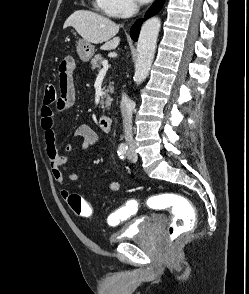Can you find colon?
<instances>
[{
    "label": "colon",
    "mask_w": 249,
    "mask_h": 294,
    "mask_svg": "<svg viewBox=\"0 0 249 294\" xmlns=\"http://www.w3.org/2000/svg\"><path fill=\"white\" fill-rule=\"evenodd\" d=\"M71 69V59L65 57L59 65V72L62 75L67 74ZM59 91L52 83H47L44 87L43 102L46 105H52L59 100ZM148 205L151 208L169 206L173 210V218L167 227V237L170 242L191 231L195 225V210L192 204L185 197L176 194H163L152 196L148 199ZM68 203L73 213L81 217L91 216V209L88 203L78 194H71L68 197ZM137 200H128L120 209L119 217L126 219L133 216L138 210Z\"/></svg>",
    "instance_id": "colon-1"
}]
</instances>
